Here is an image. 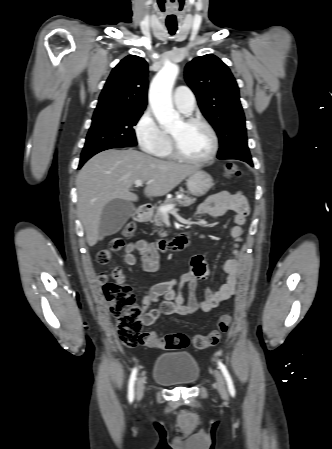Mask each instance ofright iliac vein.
<instances>
[{
	"label": "right iliac vein",
	"mask_w": 332,
	"mask_h": 449,
	"mask_svg": "<svg viewBox=\"0 0 332 449\" xmlns=\"http://www.w3.org/2000/svg\"><path fill=\"white\" fill-rule=\"evenodd\" d=\"M144 383L145 378L143 376H140L136 385V397L138 400H141L144 395Z\"/></svg>",
	"instance_id": "1"
}]
</instances>
